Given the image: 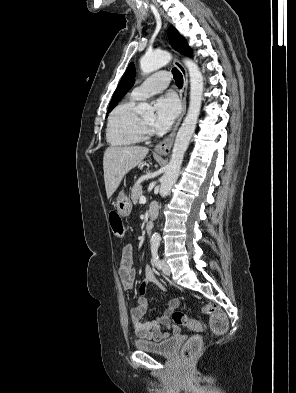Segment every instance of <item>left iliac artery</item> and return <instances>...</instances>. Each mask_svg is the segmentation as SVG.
I'll return each instance as SVG.
<instances>
[{"mask_svg":"<svg viewBox=\"0 0 296 393\" xmlns=\"http://www.w3.org/2000/svg\"><path fill=\"white\" fill-rule=\"evenodd\" d=\"M158 249H159V244L158 243H153L151 246V252H152V257H153V263L154 265L158 268L161 269L162 268V263L159 259V255H158Z\"/></svg>","mask_w":296,"mask_h":393,"instance_id":"44dca946","label":"left iliac artery"}]
</instances>
